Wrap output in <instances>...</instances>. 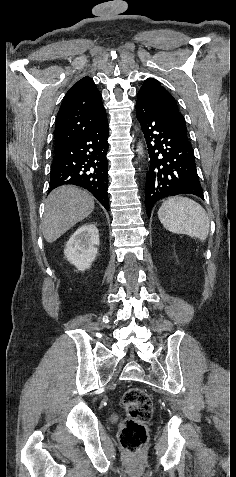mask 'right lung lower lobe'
<instances>
[{
  "mask_svg": "<svg viewBox=\"0 0 236 477\" xmlns=\"http://www.w3.org/2000/svg\"><path fill=\"white\" fill-rule=\"evenodd\" d=\"M108 122L91 129L74 143L54 154L50 189L73 184L89 190L109 210Z\"/></svg>",
  "mask_w": 236,
  "mask_h": 477,
  "instance_id": "obj_1",
  "label": "right lung lower lobe"
}]
</instances>
